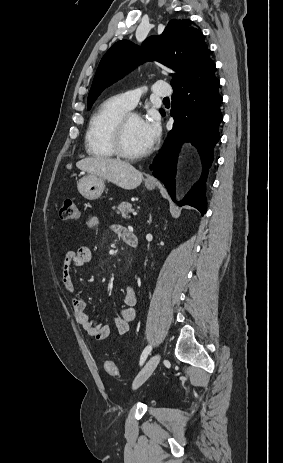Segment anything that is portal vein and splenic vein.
Segmentation results:
<instances>
[{"label":"portal vein and splenic vein","instance_id":"1","mask_svg":"<svg viewBox=\"0 0 283 463\" xmlns=\"http://www.w3.org/2000/svg\"><path fill=\"white\" fill-rule=\"evenodd\" d=\"M133 215H137V212H133Z\"/></svg>","mask_w":283,"mask_h":463}]
</instances>
